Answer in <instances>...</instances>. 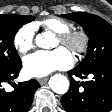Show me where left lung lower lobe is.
<instances>
[{"label":"left lung lower lobe","mask_w":112,"mask_h":112,"mask_svg":"<svg viewBox=\"0 0 112 112\" xmlns=\"http://www.w3.org/2000/svg\"><path fill=\"white\" fill-rule=\"evenodd\" d=\"M70 89L61 98L66 112H110L112 110V62L91 69L77 67L68 72ZM73 75L85 81H76ZM88 76L91 79H88Z\"/></svg>","instance_id":"obj_1"}]
</instances>
